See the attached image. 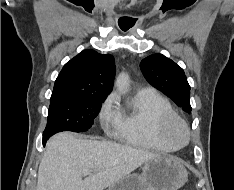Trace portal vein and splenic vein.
<instances>
[{
  "mask_svg": "<svg viewBox=\"0 0 234 190\" xmlns=\"http://www.w3.org/2000/svg\"><path fill=\"white\" fill-rule=\"evenodd\" d=\"M88 174H90V171H89V170H84V171H83V175H88Z\"/></svg>",
  "mask_w": 234,
  "mask_h": 190,
  "instance_id": "18ae733b",
  "label": "portal vein and splenic vein"
}]
</instances>
